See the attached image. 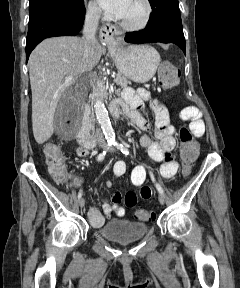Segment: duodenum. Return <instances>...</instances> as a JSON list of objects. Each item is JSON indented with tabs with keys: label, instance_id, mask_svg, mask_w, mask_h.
Returning a JSON list of instances; mask_svg holds the SVG:
<instances>
[{
	"label": "duodenum",
	"instance_id": "410a0bca",
	"mask_svg": "<svg viewBox=\"0 0 240 288\" xmlns=\"http://www.w3.org/2000/svg\"><path fill=\"white\" fill-rule=\"evenodd\" d=\"M110 111L116 117L120 115L121 111L119 101L114 100L110 103ZM92 128L93 125L90 110L85 108L83 113V125L79 134L77 135V140L81 145H84L88 148H93L95 146V140L92 136Z\"/></svg>",
	"mask_w": 240,
	"mask_h": 288
}]
</instances>
